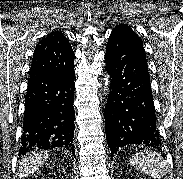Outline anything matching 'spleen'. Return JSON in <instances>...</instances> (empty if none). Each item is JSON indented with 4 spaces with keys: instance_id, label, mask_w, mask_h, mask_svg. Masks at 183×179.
Here are the masks:
<instances>
[{
    "instance_id": "1",
    "label": "spleen",
    "mask_w": 183,
    "mask_h": 179,
    "mask_svg": "<svg viewBox=\"0 0 183 179\" xmlns=\"http://www.w3.org/2000/svg\"><path fill=\"white\" fill-rule=\"evenodd\" d=\"M130 163L134 168L154 179H161L167 172V164L163 157L150 150H142L136 153L131 158Z\"/></svg>"
}]
</instances>
